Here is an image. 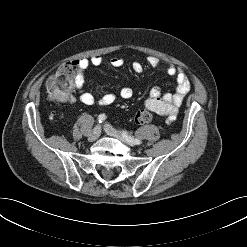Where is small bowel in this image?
Listing matches in <instances>:
<instances>
[{
	"mask_svg": "<svg viewBox=\"0 0 247 247\" xmlns=\"http://www.w3.org/2000/svg\"><path fill=\"white\" fill-rule=\"evenodd\" d=\"M103 62L101 56H93L91 58H81L78 60L79 74H78V98L87 105H93L98 103L102 106L111 105L115 102L117 96L114 93H106L97 99L93 93L84 90V84L86 81V72L90 67H99ZM147 62L150 67L158 68L162 65V62L155 56H149ZM124 63V60L120 57H114L110 59V64L113 67H120ZM132 69L135 73L143 72V65L140 62H134ZM165 69L169 76L175 77L177 81V88L173 93H162L159 88L153 87L149 90V96L145 101V107L155 113L163 114L167 117L168 122L173 121L178 113L179 106L181 105L185 95L191 88L190 80L184 70L172 63H165ZM133 95V91L130 87H123L119 96L123 99H129ZM75 98L70 97L67 100L68 104H73Z\"/></svg>",
	"mask_w": 247,
	"mask_h": 247,
	"instance_id": "obj_1",
	"label": "small bowel"
}]
</instances>
